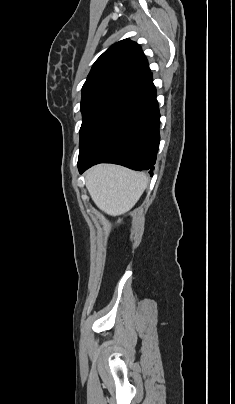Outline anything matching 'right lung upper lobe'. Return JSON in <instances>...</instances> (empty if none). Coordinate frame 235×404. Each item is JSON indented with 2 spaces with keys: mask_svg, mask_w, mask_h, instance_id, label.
Returning <instances> with one entry per match:
<instances>
[{
  "mask_svg": "<svg viewBox=\"0 0 235 404\" xmlns=\"http://www.w3.org/2000/svg\"><path fill=\"white\" fill-rule=\"evenodd\" d=\"M149 73L141 47L124 39L110 46L96 60L82 89L105 83L131 84Z\"/></svg>",
  "mask_w": 235,
  "mask_h": 404,
  "instance_id": "obj_1",
  "label": "right lung upper lobe"
}]
</instances>
